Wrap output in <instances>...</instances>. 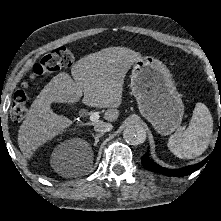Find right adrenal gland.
Returning a JSON list of instances; mask_svg holds the SVG:
<instances>
[{
  "instance_id": "obj_1",
  "label": "right adrenal gland",
  "mask_w": 221,
  "mask_h": 221,
  "mask_svg": "<svg viewBox=\"0 0 221 221\" xmlns=\"http://www.w3.org/2000/svg\"><path fill=\"white\" fill-rule=\"evenodd\" d=\"M103 135H104V133L97 134V135H94V133H92V136L95 139L94 146L97 145V143L99 142V138L102 137Z\"/></svg>"
}]
</instances>
